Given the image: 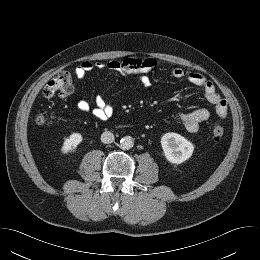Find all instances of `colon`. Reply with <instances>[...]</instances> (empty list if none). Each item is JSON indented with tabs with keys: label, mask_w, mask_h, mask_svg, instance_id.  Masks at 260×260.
Masks as SVG:
<instances>
[{
	"label": "colon",
	"mask_w": 260,
	"mask_h": 260,
	"mask_svg": "<svg viewBox=\"0 0 260 260\" xmlns=\"http://www.w3.org/2000/svg\"><path fill=\"white\" fill-rule=\"evenodd\" d=\"M73 92V81L71 74L67 71L59 72L45 86L43 94L47 98L59 96L67 97ZM36 123L40 126L48 123V117L44 113H39L36 116ZM225 127L218 122L211 125V135L213 139L220 140L225 135Z\"/></svg>",
	"instance_id": "colon-1"
}]
</instances>
